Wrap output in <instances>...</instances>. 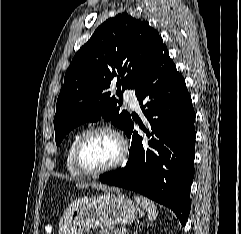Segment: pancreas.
<instances>
[{
    "label": "pancreas",
    "mask_w": 241,
    "mask_h": 234,
    "mask_svg": "<svg viewBox=\"0 0 241 234\" xmlns=\"http://www.w3.org/2000/svg\"><path fill=\"white\" fill-rule=\"evenodd\" d=\"M98 234H122V232L118 228H105L99 231Z\"/></svg>",
    "instance_id": "1"
}]
</instances>
